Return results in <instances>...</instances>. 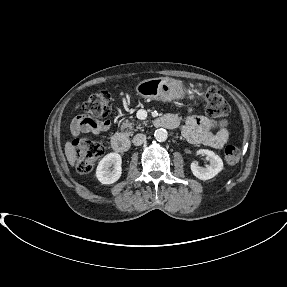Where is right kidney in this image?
Returning a JSON list of instances; mask_svg holds the SVG:
<instances>
[{"instance_id":"obj_1","label":"right kidney","mask_w":287,"mask_h":287,"mask_svg":"<svg viewBox=\"0 0 287 287\" xmlns=\"http://www.w3.org/2000/svg\"><path fill=\"white\" fill-rule=\"evenodd\" d=\"M122 159L118 153H109L99 162L96 177L102 184H113L121 177ZM113 165V169L109 168Z\"/></svg>"}]
</instances>
